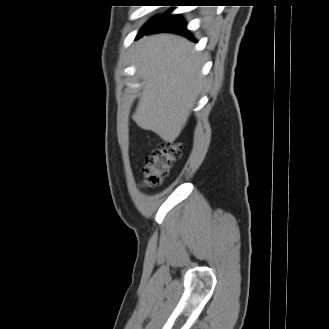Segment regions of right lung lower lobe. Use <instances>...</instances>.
<instances>
[{"mask_svg": "<svg viewBox=\"0 0 329 329\" xmlns=\"http://www.w3.org/2000/svg\"><path fill=\"white\" fill-rule=\"evenodd\" d=\"M170 11L160 16L153 24L143 27L138 34L141 37L144 34L157 33V32H171L184 35L192 39L190 32L186 29L185 22L179 15L169 16Z\"/></svg>", "mask_w": 329, "mask_h": 329, "instance_id": "obj_1", "label": "right lung lower lobe"}]
</instances>
